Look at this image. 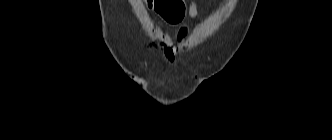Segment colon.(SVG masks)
Wrapping results in <instances>:
<instances>
[{
    "instance_id": "colon-1",
    "label": "colon",
    "mask_w": 332,
    "mask_h": 140,
    "mask_svg": "<svg viewBox=\"0 0 332 140\" xmlns=\"http://www.w3.org/2000/svg\"><path fill=\"white\" fill-rule=\"evenodd\" d=\"M147 4L166 21H178L185 14L184 0H147Z\"/></svg>"
}]
</instances>
